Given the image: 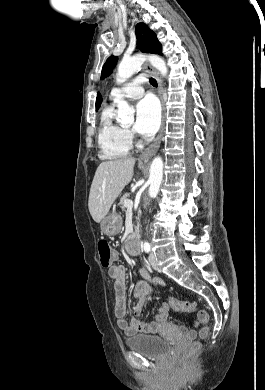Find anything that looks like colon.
<instances>
[{
  "instance_id": "colon-1",
  "label": "colon",
  "mask_w": 265,
  "mask_h": 390,
  "mask_svg": "<svg viewBox=\"0 0 265 390\" xmlns=\"http://www.w3.org/2000/svg\"><path fill=\"white\" fill-rule=\"evenodd\" d=\"M98 253L100 257V262L103 267H111L114 261V252L110 246V244L101 240L98 243ZM168 303L172 309L178 312H191L195 310V305L188 301H181L176 299L173 296H169ZM198 319L204 325L200 330V337L205 338L208 335V323H209V315L205 311L198 312ZM200 343L198 341L193 342L187 351L184 353L182 360L184 362H189L200 350Z\"/></svg>"
}]
</instances>
